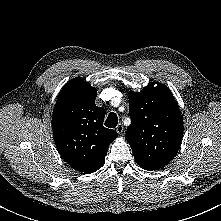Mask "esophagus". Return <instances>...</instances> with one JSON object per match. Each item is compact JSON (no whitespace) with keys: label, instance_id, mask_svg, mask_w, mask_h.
I'll return each mask as SVG.
<instances>
[{"label":"esophagus","instance_id":"esophagus-1","mask_svg":"<svg viewBox=\"0 0 221 221\" xmlns=\"http://www.w3.org/2000/svg\"><path fill=\"white\" fill-rule=\"evenodd\" d=\"M123 131H124V127L122 124H118L117 127H116V132L119 134V135H122L123 134Z\"/></svg>","mask_w":221,"mask_h":221}]
</instances>
